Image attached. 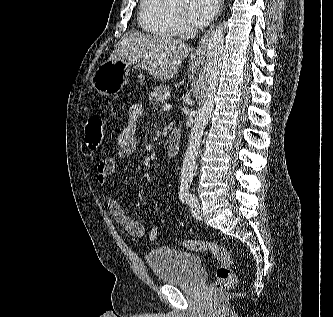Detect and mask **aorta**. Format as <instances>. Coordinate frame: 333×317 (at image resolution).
<instances>
[{
	"label": "aorta",
	"instance_id": "762f6f07",
	"mask_svg": "<svg viewBox=\"0 0 333 317\" xmlns=\"http://www.w3.org/2000/svg\"><path fill=\"white\" fill-rule=\"evenodd\" d=\"M173 3L183 4L188 0H169ZM224 50V27L219 24L212 32L207 45L206 54V89L204 102L194 115V124L189 137V143L184 156L181 169V185L191 184L196 171V161L200 149L203 131L207 126L214 109V97L216 95L220 70L222 66V54Z\"/></svg>",
	"mask_w": 333,
	"mask_h": 317
}]
</instances>
